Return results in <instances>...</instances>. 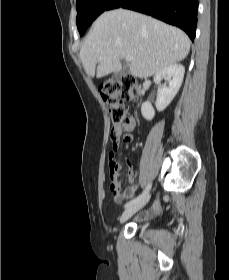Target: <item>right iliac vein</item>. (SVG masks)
<instances>
[{"mask_svg": "<svg viewBox=\"0 0 229 280\" xmlns=\"http://www.w3.org/2000/svg\"><path fill=\"white\" fill-rule=\"evenodd\" d=\"M150 196L147 195L145 198L140 200L139 202L133 204L132 206L125 209V211L120 216V223H124L126 220H128L133 214H135L137 211L142 209L149 201Z\"/></svg>", "mask_w": 229, "mask_h": 280, "instance_id": "right-iliac-vein-1", "label": "right iliac vein"}]
</instances>
